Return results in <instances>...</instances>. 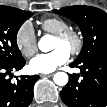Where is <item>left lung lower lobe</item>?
Returning <instances> with one entry per match:
<instances>
[{"label": "left lung lower lobe", "instance_id": "left-lung-lower-lobe-1", "mask_svg": "<svg viewBox=\"0 0 107 107\" xmlns=\"http://www.w3.org/2000/svg\"><path fill=\"white\" fill-rule=\"evenodd\" d=\"M71 67H79V74H73L70 82L60 91L63 102L68 107L107 106V52L97 54L81 63L73 62Z\"/></svg>", "mask_w": 107, "mask_h": 107}]
</instances>
